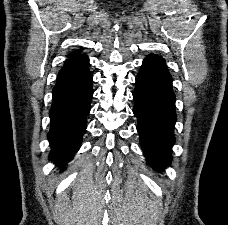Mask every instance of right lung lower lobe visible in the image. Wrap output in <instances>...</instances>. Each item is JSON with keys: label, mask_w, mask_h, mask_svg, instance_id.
Wrapping results in <instances>:
<instances>
[{"label": "right lung lower lobe", "mask_w": 228, "mask_h": 225, "mask_svg": "<svg viewBox=\"0 0 228 225\" xmlns=\"http://www.w3.org/2000/svg\"><path fill=\"white\" fill-rule=\"evenodd\" d=\"M86 54L68 59L53 89L49 112L50 158L64 166L80 147L93 95V76Z\"/></svg>", "instance_id": "obj_1"}]
</instances>
